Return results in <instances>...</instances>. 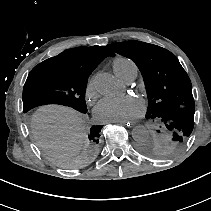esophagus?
Returning a JSON list of instances; mask_svg holds the SVG:
<instances>
[{
  "label": "esophagus",
  "mask_w": 211,
  "mask_h": 211,
  "mask_svg": "<svg viewBox=\"0 0 211 211\" xmlns=\"http://www.w3.org/2000/svg\"><path fill=\"white\" fill-rule=\"evenodd\" d=\"M112 123H121L123 127L125 128H132L133 123L131 121H128L127 119H123V120H112Z\"/></svg>",
  "instance_id": "obj_1"
}]
</instances>
